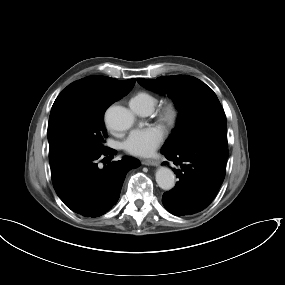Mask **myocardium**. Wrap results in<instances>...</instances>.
<instances>
[{
	"label": "myocardium",
	"mask_w": 285,
	"mask_h": 285,
	"mask_svg": "<svg viewBox=\"0 0 285 285\" xmlns=\"http://www.w3.org/2000/svg\"><path fill=\"white\" fill-rule=\"evenodd\" d=\"M179 115L177 105L171 101L162 104L157 111L158 121L168 129H172L177 125Z\"/></svg>",
	"instance_id": "myocardium-1"
}]
</instances>
